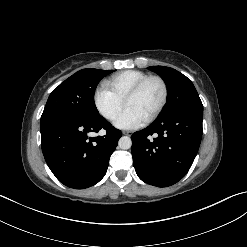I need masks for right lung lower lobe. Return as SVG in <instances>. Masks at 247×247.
Instances as JSON below:
<instances>
[{
    "instance_id": "right-lung-lower-lobe-1",
    "label": "right lung lower lobe",
    "mask_w": 247,
    "mask_h": 247,
    "mask_svg": "<svg viewBox=\"0 0 247 247\" xmlns=\"http://www.w3.org/2000/svg\"><path fill=\"white\" fill-rule=\"evenodd\" d=\"M106 130L105 136L88 137ZM41 146L55 177L64 185L84 189L98 183L106 174L121 131L101 115L81 118L56 113L41 117Z\"/></svg>"
}]
</instances>
